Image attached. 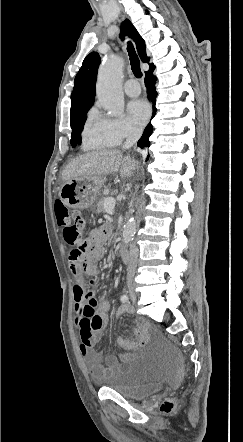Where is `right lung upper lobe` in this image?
Masks as SVG:
<instances>
[{"label": "right lung upper lobe", "instance_id": "right-lung-upper-lobe-1", "mask_svg": "<svg viewBox=\"0 0 243 442\" xmlns=\"http://www.w3.org/2000/svg\"><path fill=\"white\" fill-rule=\"evenodd\" d=\"M122 27L124 30L121 32L120 38L123 39L124 34H127L134 42L140 59L143 62L149 63V57L146 55L145 42L135 27L128 19L122 23ZM99 64V54L96 52L90 53L84 59L82 67L75 77L74 89L71 94V123L75 122L84 112L87 113L94 103L95 81ZM152 65L153 64H150V66Z\"/></svg>", "mask_w": 243, "mask_h": 442}]
</instances>
